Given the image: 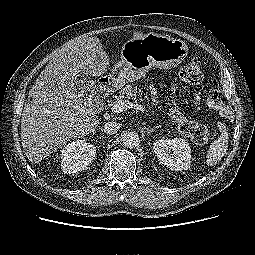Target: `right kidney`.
Listing matches in <instances>:
<instances>
[{
  "label": "right kidney",
  "instance_id": "obj_1",
  "mask_svg": "<svg viewBox=\"0 0 255 255\" xmlns=\"http://www.w3.org/2000/svg\"><path fill=\"white\" fill-rule=\"evenodd\" d=\"M96 155V147L85 140L69 143L61 151L63 173L73 175L88 168Z\"/></svg>",
  "mask_w": 255,
  "mask_h": 255
}]
</instances>
